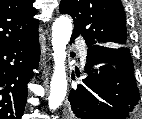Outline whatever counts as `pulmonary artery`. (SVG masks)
Instances as JSON below:
<instances>
[{"instance_id":"e3ab8cb5","label":"pulmonary artery","mask_w":142,"mask_h":119,"mask_svg":"<svg viewBox=\"0 0 142 119\" xmlns=\"http://www.w3.org/2000/svg\"><path fill=\"white\" fill-rule=\"evenodd\" d=\"M76 43L79 46V55H80L81 62L85 63L86 56H87L86 48L80 42H76Z\"/></svg>"}]
</instances>
